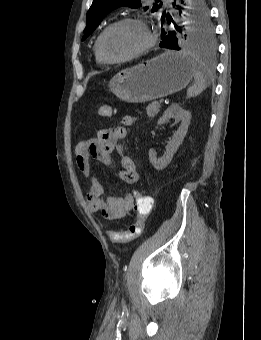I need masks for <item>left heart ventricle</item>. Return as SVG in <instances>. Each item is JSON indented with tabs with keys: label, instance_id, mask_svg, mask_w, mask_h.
Returning a JSON list of instances; mask_svg holds the SVG:
<instances>
[{
	"label": "left heart ventricle",
	"instance_id": "left-heart-ventricle-1",
	"mask_svg": "<svg viewBox=\"0 0 261 340\" xmlns=\"http://www.w3.org/2000/svg\"><path fill=\"white\" fill-rule=\"evenodd\" d=\"M147 41L144 30L133 23H124L112 28L103 38V52L118 58L132 54L142 48Z\"/></svg>",
	"mask_w": 261,
	"mask_h": 340
}]
</instances>
